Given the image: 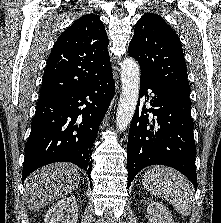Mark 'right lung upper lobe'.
<instances>
[{
	"label": "right lung upper lobe",
	"instance_id": "obj_1",
	"mask_svg": "<svg viewBox=\"0 0 221 223\" xmlns=\"http://www.w3.org/2000/svg\"><path fill=\"white\" fill-rule=\"evenodd\" d=\"M109 40L96 14L76 20L57 39L47 61L38 103L72 92L111 68Z\"/></svg>",
	"mask_w": 221,
	"mask_h": 223
}]
</instances>
